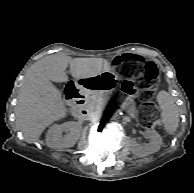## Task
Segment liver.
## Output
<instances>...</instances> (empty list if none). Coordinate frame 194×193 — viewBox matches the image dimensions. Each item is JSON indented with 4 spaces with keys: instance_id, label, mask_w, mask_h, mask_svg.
Masks as SVG:
<instances>
[{
    "instance_id": "6515ba94",
    "label": "liver",
    "mask_w": 194,
    "mask_h": 193,
    "mask_svg": "<svg viewBox=\"0 0 194 193\" xmlns=\"http://www.w3.org/2000/svg\"><path fill=\"white\" fill-rule=\"evenodd\" d=\"M68 65L75 79L111 70L110 63L104 58H71L53 54L35 62L25 75L16 108L18 127L28 143L38 141L50 124L66 116L61 93L51 81L67 82L65 70Z\"/></svg>"
}]
</instances>
